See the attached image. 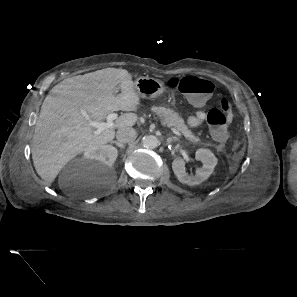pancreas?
Segmentation results:
<instances>
[{"instance_id":"pancreas-1","label":"pancreas","mask_w":297,"mask_h":297,"mask_svg":"<svg viewBox=\"0 0 297 297\" xmlns=\"http://www.w3.org/2000/svg\"><path fill=\"white\" fill-rule=\"evenodd\" d=\"M156 115L163 121H165L170 127H174L179 132L183 134V136L194 144L201 145V139L196 137L191 130L185 125L184 120L179 116V114L173 111L170 108L165 107H152L151 109Z\"/></svg>"}]
</instances>
